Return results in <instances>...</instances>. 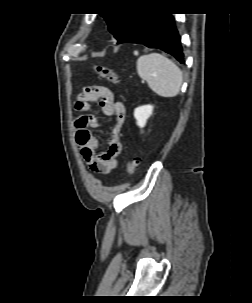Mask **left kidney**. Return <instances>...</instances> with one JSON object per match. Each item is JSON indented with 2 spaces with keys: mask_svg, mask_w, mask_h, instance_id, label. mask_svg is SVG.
<instances>
[{
  "mask_svg": "<svg viewBox=\"0 0 252 303\" xmlns=\"http://www.w3.org/2000/svg\"><path fill=\"white\" fill-rule=\"evenodd\" d=\"M153 106L152 105H143L137 107L134 110V117L137 121V125L140 128H143L146 125L148 118L152 115Z\"/></svg>",
  "mask_w": 252,
  "mask_h": 303,
  "instance_id": "left-kidney-1",
  "label": "left kidney"
}]
</instances>
